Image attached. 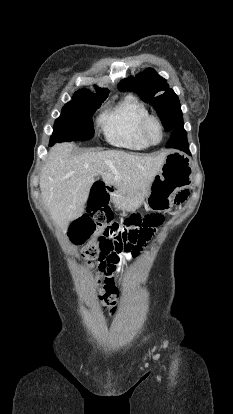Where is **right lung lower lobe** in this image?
<instances>
[{"label": "right lung lower lobe", "mask_w": 233, "mask_h": 414, "mask_svg": "<svg viewBox=\"0 0 233 414\" xmlns=\"http://www.w3.org/2000/svg\"><path fill=\"white\" fill-rule=\"evenodd\" d=\"M54 143L55 142L52 139H50V146H52Z\"/></svg>", "instance_id": "obj_1"}]
</instances>
